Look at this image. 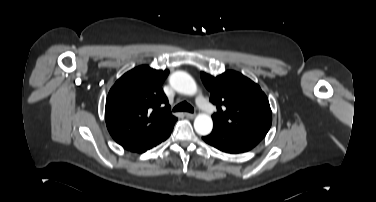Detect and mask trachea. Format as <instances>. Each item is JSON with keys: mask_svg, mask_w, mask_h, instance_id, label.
Returning a JSON list of instances; mask_svg holds the SVG:
<instances>
[{"mask_svg": "<svg viewBox=\"0 0 376 202\" xmlns=\"http://www.w3.org/2000/svg\"><path fill=\"white\" fill-rule=\"evenodd\" d=\"M173 111L174 112H176V111H187V112L193 113L194 108L190 104H188L187 102H181L180 104L176 105L173 108Z\"/></svg>", "mask_w": 376, "mask_h": 202, "instance_id": "trachea-1", "label": "trachea"}]
</instances>
